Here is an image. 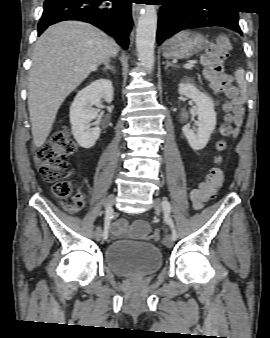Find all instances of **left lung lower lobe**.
Returning <instances> with one entry per match:
<instances>
[{"label":"left lung lower lobe","instance_id":"obj_1","mask_svg":"<svg viewBox=\"0 0 270 338\" xmlns=\"http://www.w3.org/2000/svg\"><path fill=\"white\" fill-rule=\"evenodd\" d=\"M221 2L223 0H166L159 13L158 44L181 30L194 27L221 26L242 35L238 11L223 8Z\"/></svg>","mask_w":270,"mask_h":338}]
</instances>
